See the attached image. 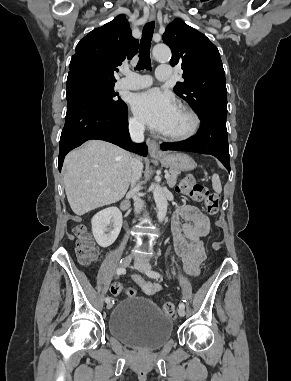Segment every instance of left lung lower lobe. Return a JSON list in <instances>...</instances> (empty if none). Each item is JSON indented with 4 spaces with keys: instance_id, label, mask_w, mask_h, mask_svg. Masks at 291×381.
I'll return each mask as SVG.
<instances>
[{
    "instance_id": "obj_1",
    "label": "left lung lower lobe",
    "mask_w": 291,
    "mask_h": 381,
    "mask_svg": "<svg viewBox=\"0 0 291 381\" xmlns=\"http://www.w3.org/2000/svg\"><path fill=\"white\" fill-rule=\"evenodd\" d=\"M162 150L190 151L210 154L218 158L230 172V156L227 139L226 118L207 116L201 119L199 132L189 140L163 143Z\"/></svg>"
}]
</instances>
